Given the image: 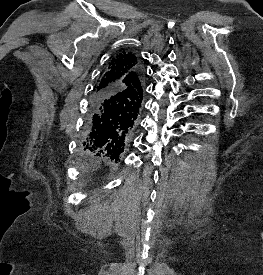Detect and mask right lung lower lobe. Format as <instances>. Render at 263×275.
<instances>
[{"label": "right lung lower lobe", "instance_id": "right-lung-lower-lobe-1", "mask_svg": "<svg viewBox=\"0 0 263 275\" xmlns=\"http://www.w3.org/2000/svg\"><path fill=\"white\" fill-rule=\"evenodd\" d=\"M134 75L141 78L140 67L134 70ZM128 98L125 89L93 94L81 140L84 150L119 160L133 135L139 115L128 109Z\"/></svg>", "mask_w": 263, "mask_h": 275}]
</instances>
